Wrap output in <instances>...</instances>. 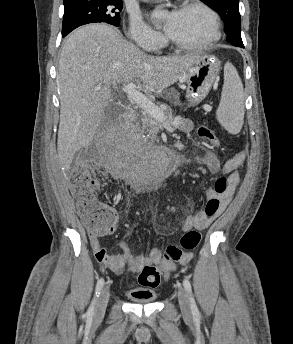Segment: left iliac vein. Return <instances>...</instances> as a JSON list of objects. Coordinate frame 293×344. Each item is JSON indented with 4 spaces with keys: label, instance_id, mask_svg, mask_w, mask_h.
Returning a JSON list of instances; mask_svg holds the SVG:
<instances>
[{
    "label": "left iliac vein",
    "instance_id": "obj_1",
    "mask_svg": "<svg viewBox=\"0 0 293 344\" xmlns=\"http://www.w3.org/2000/svg\"><path fill=\"white\" fill-rule=\"evenodd\" d=\"M178 301L183 315L185 317H191L189 296L183 287L178 288Z\"/></svg>",
    "mask_w": 293,
    "mask_h": 344
}]
</instances>
